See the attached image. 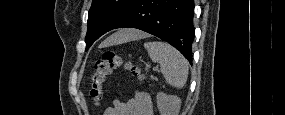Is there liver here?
<instances>
[{"mask_svg": "<svg viewBox=\"0 0 285 115\" xmlns=\"http://www.w3.org/2000/svg\"><path fill=\"white\" fill-rule=\"evenodd\" d=\"M147 34L138 30L125 29L107 38L99 45V48L108 47L111 45L121 44L130 40L140 39L146 37Z\"/></svg>", "mask_w": 285, "mask_h": 115, "instance_id": "liver-1", "label": "liver"}]
</instances>
